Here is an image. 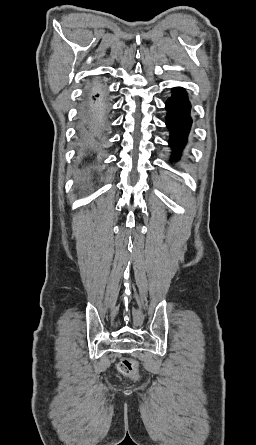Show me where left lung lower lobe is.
I'll return each instance as SVG.
<instances>
[{
    "instance_id": "0a47b994",
    "label": "left lung lower lobe",
    "mask_w": 256,
    "mask_h": 445,
    "mask_svg": "<svg viewBox=\"0 0 256 445\" xmlns=\"http://www.w3.org/2000/svg\"><path fill=\"white\" fill-rule=\"evenodd\" d=\"M190 102L183 88H174L171 97L166 102V125L170 130L169 144L173 148V158H179L182 148L187 142V136L192 124L190 118Z\"/></svg>"
}]
</instances>
